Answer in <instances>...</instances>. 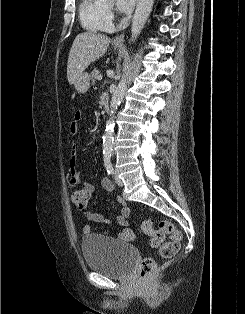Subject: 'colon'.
<instances>
[{"label":"colon","mask_w":245,"mask_h":314,"mask_svg":"<svg viewBox=\"0 0 245 314\" xmlns=\"http://www.w3.org/2000/svg\"><path fill=\"white\" fill-rule=\"evenodd\" d=\"M89 193L85 190H78L72 194L73 204L80 209H84L88 205ZM143 232L149 236L150 244L159 248V255L162 258H170L176 254L182 239L181 232L169 221L161 220L156 228L151 219H146L142 225ZM169 234L170 240L162 243L164 234ZM155 262L152 258H145L139 265V275L141 279H146L153 271Z\"/></svg>","instance_id":"1"}]
</instances>
